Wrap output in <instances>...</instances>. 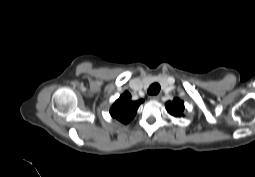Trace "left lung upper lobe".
I'll return each instance as SVG.
<instances>
[{
    "label": "left lung upper lobe",
    "instance_id": "1",
    "mask_svg": "<svg viewBox=\"0 0 255 177\" xmlns=\"http://www.w3.org/2000/svg\"><path fill=\"white\" fill-rule=\"evenodd\" d=\"M167 112L173 117L184 116V102L179 98H174L173 101H168L165 104Z\"/></svg>",
    "mask_w": 255,
    "mask_h": 177
}]
</instances>
